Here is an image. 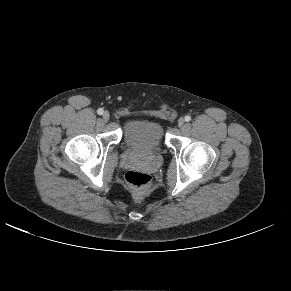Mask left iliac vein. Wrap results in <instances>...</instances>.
I'll return each mask as SVG.
<instances>
[{
    "instance_id": "4c4485c4",
    "label": "left iliac vein",
    "mask_w": 291,
    "mask_h": 291,
    "mask_svg": "<svg viewBox=\"0 0 291 291\" xmlns=\"http://www.w3.org/2000/svg\"><path fill=\"white\" fill-rule=\"evenodd\" d=\"M184 124H185V120L183 118H180L178 120V126H179V128H183L184 127Z\"/></svg>"
}]
</instances>
